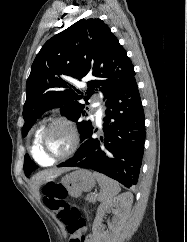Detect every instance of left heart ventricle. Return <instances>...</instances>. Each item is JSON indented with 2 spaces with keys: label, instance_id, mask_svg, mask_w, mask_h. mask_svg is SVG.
Segmentation results:
<instances>
[{
  "label": "left heart ventricle",
  "instance_id": "obj_1",
  "mask_svg": "<svg viewBox=\"0 0 187 242\" xmlns=\"http://www.w3.org/2000/svg\"><path fill=\"white\" fill-rule=\"evenodd\" d=\"M70 145V132L66 127L61 125L54 126L44 139L45 151L53 156L65 153Z\"/></svg>",
  "mask_w": 187,
  "mask_h": 242
}]
</instances>
